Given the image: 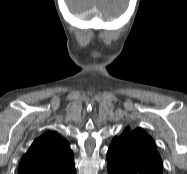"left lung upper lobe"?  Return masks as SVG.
I'll return each mask as SVG.
<instances>
[{
  "mask_svg": "<svg viewBox=\"0 0 187 174\" xmlns=\"http://www.w3.org/2000/svg\"><path fill=\"white\" fill-rule=\"evenodd\" d=\"M107 164L110 171L128 174H162L163 166L153 139L142 129L129 132V128L112 140Z\"/></svg>",
  "mask_w": 187,
  "mask_h": 174,
  "instance_id": "obj_1",
  "label": "left lung upper lobe"
}]
</instances>
